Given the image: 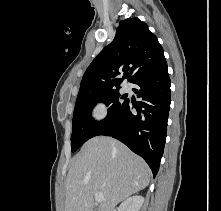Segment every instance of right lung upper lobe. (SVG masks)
Here are the masks:
<instances>
[{"mask_svg": "<svg viewBox=\"0 0 221 211\" xmlns=\"http://www.w3.org/2000/svg\"><path fill=\"white\" fill-rule=\"evenodd\" d=\"M166 64L163 49L147 24L138 18L122 20L114 40L87 68L77 98L113 91L125 77L133 83ZM120 74L124 76L118 78Z\"/></svg>", "mask_w": 221, "mask_h": 211, "instance_id": "cb5924a9", "label": "right lung upper lobe"}]
</instances>
